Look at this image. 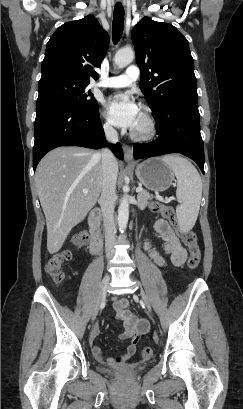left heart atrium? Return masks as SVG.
I'll list each match as a JSON object with an SVG mask.
<instances>
[{"label": "left heart atrium", "instance_id": "left-heart-atrium-1", "mask_svg": "<svg viewBox=\"0 0 243 409\" xmlns=\"http://www.w3.org/2000/svg\"><path fill=\"white\" fill-rule=\"evenodd\" d=\"M139 108L135 101L126 94L111 96L105 103V112L109 121L121 128H133Z\"/></svg>", "mask_w": 243, "mask_h": 409}]
</instances>
